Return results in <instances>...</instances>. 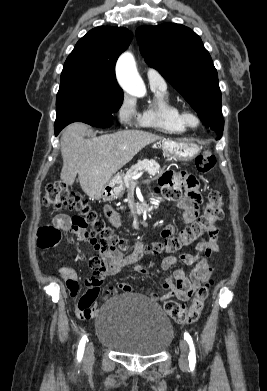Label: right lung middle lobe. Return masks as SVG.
<instances>
[{
  "instance_id": "right-lung-middle-lobe-1",
  "label": "right lung middle lobe",
  "mask_w": 267,
  "mask_h": 391,
  "mask_svg": "<svg viewBox=\"0 0 267 391\" xmlns=\"http://www.w3.org/2000/svg\"><path fill=\"white\" fill-rule=\"evenodd\" d=\"M60 81L56 129L61 130L76 121L100 128L112 125V113L118 111L123 102L120 87L91 76H74Z\"/></svg>"
}]
</instances>
